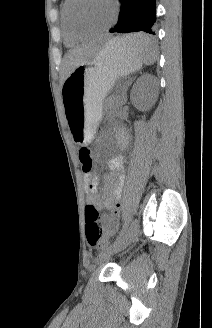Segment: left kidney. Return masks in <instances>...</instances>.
Here are the masks:
<instances>
[{
	"label": "left kidney",
	"mask_w": 212,
	"mask_h": 328,
	"mask_svg": "<svg viewBox=\"0 0 212 328\" xmlns=\"http://www.w3.org/2000/svg\"><path fill=\"white\" fill-rule=\"evenodd\" d=\"M144 85H146L147 88L143 89L142 86ZM138 88H140L141 91L142 89L144 90V92H142L143 95L140 98L137 96ZM157 95H158V85L156 79L149 75H143L136 81V84L132 89L131 101L135 106H140L144 110H149L152 107V105L155 103Z\"/></svg>",
	"instance_id": "left-kidney-1"
}]
</instances>
